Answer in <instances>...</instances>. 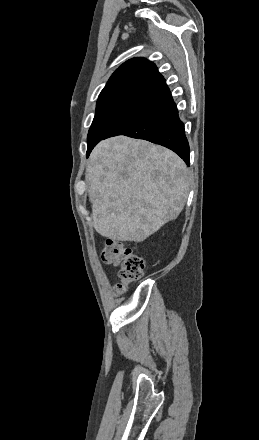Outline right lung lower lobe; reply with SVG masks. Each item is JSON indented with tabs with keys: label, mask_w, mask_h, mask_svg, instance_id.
Returning a JSON list of instances; mask_svg holds the SVG:
<instances>
[{
	"label": "right lung lower lobe",
	"mask_w": 259,
	"mask_h": 440,
	"mask_svg": "<svg viewBox=\"0 0 259 440\" xmlns=\"http://www.w3.org/2000/svg\"><path fill=\"white\" fill-rule=\"evenodd\" d=\"M116 135L145 139L165 146L178 154L189 166L190 150L184 124L178 116L176 104L165 79L151 88L130 113L109 132L89 143L87 157L99 141Z\"/></svg>",
	"instance_id": "98d812e1"
}]
</instances>
